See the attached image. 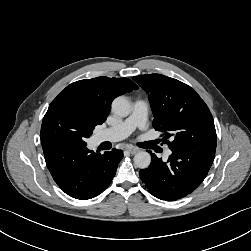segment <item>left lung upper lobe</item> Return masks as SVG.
<instances>
[{
    "label": "left lung upper lobe",
    "instance_id": "1",
    "mask_svg": "<svg viewBox=\"0 0 251 251\" xmlns=\"http://www.w3.org/2000/svg\"><path fill=\"white\" fill-rule=\"evenodd\" d=\"M147 92L154 115L153 127L164 132L170 149L180 147L216 148L213 117L196 91L176 79L150 74L133 77ZM172 138V142L168 138Z\"/></svg>",
    "mask_w": 251,
    "mask_h": 251
}]
</instances>
